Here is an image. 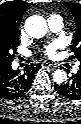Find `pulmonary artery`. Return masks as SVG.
I'll use <instances>...</instances> for the list:
<instances>
[{
	"label": "pulmonary artery",
	"instance_id": "e3ab8cb5",
	"mask_svg": "<svg viewBox=\"0 0 81 124\" xmlns=\"http://www.w3.org/2000/svg\"><path fill=\"white\" fill-rule=\"evenodd\" d=\"M48 26H49V29L53 32L60 31L61 28L63 27V21L61 16L56 15V16L49 17ZM26 53L29 54V52H26ZM74 70H77V65L74 67Z\"/></svg>",
	"mask_w": 81,
	"mask_h": 124
}]
</instances>
